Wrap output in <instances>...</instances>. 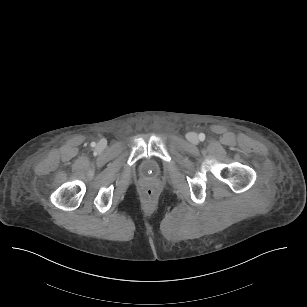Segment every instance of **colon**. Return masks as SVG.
<instances>
[{"mask_svg":"<svg viewBox=\"0 0 307 307\" xmlns=\"http://www.w3.org/2000/svg\"><path fill=\"white\" fill-rule=\"evenodd\" d=\"M142 197L147 201H152L157 196V190L152 185H146L141 190Z\"/></svg>","mask_w":307,"mask_h":307,"instance_id":"colon-1","label":"colon"}]
</instances>
